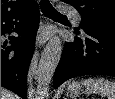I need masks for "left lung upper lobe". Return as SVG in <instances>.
I'll use <instances>...</instances> for the list:
<instances>
[{
    "label": "left lung upper lobe",
    "instance_id": "obj_1",
    "mask_svg": "<svg viewBox=\"0 0 115 99\" xmlns=\"http://www.w3.org/2000/svg\"><path fill=\"white\" fill-rule=\"evenodd\" d=\"M72 5L82 16V30L115 34V0H61ZM79 31V28H75Z\"/></svg>",
    "mask_w": 115,
    "mask_h": 99
}]
</instances>
